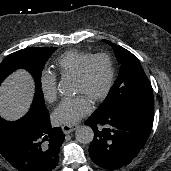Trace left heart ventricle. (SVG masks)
I'll return each instance as SVG.
<instances>
[{"label": "left heart ventricle", "instance_id": "b2bd125f", "mask_svg": "<svg viewBox=\"0 0 171 171\" xmlns=\"http://www.w3.org/2000/svg\"><path fill=\"white\" fill-rule=\"evenodd\" d=\"M108 68L105 60L97 59L89 67L86 79L82 82L74 79L73 87L76 94L92 99L106 84Z\"/></svg>", "mask_w": 171, "mask_h": 171}]
</instances>
